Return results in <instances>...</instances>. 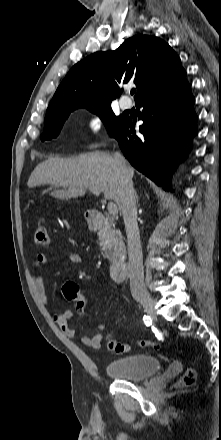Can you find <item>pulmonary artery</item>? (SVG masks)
I'll return each instance as SVG.
<instances>
[{
  "label": "pulmonary artery",
  "mask_w": 221,
  "mask_h": 440,
  "mask_svg": "<svg viewBox=\"0 0 221 440\" xmlns=\"http://www.w3.org/2000/svg\"><path fill=\"white\" fill-rule=\"evenodd\" d=\"M131 106H132V101L128 97L121 98V100H120V107L123 110L130 109Z\"/></svg>",
  "instance_id": "1"
}]
</instances>
